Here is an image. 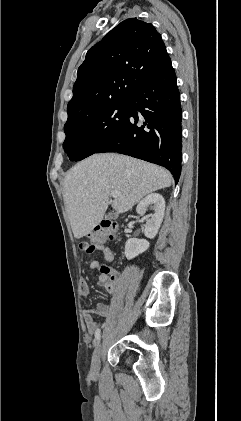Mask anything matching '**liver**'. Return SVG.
I'll return each instance as SVG.
<instances>
[{"instance_id":"6515ba94","label":"liver","mask_w":241,"mask_h":421,"mask_svg":"<svg viewBox=\"0 0 241 421\" xmlns=\"http://www.w3.org/2000/svg\"><path fill=\"white\" fill-rule=\"evenodd\" d=\"M172 182L170 173L154 164L116 153L94 154L66 174L63 197L74 237L82 238L102 220L110 193L118 213H125L144 196Z\"/></svg>"}]
</instances>
